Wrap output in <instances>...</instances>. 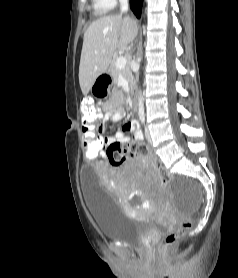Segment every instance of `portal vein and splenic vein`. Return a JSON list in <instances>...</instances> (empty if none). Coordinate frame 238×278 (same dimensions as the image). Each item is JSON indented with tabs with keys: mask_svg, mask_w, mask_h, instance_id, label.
Here are the masks:
<instances>
[{
	"mask_svg": "<svg viewBox=\"0 0 238 278\" xmlns=\"http://www.w3.org/2000/svg\"><path fill=\"white\" fill-rule=\"evenodd\" d=\"M126 62H127L126 57L119 56L116 60V67L118 69H123L126 66Z\"/></svg>",
	"mask_w": 238,
	"mask_h": 278,
	"instance_id": "1",
	"label": "portal vein and splenic vein"
}]
</instances>
